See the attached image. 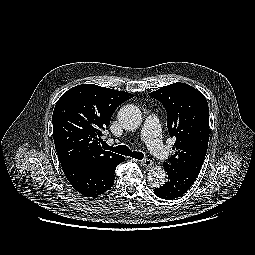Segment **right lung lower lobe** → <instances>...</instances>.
Listing matches in <instances>:
<instances>
[{
  "mask_svg": "<svg viewBox=\"0 0 255 255\" xmlns=\"http://www.w3.org/2000/svg\"><path fill=\"white\" fill-rule=\"evenodd\" d=\"M123 161L125 158L120 156L104 165H67L62 169L76 191L86 197H96L113 186L115 169Z\"/></svg>",
  "mask_w": 255,
  "mask_h": 255,
  "instance_id": "98d812e1",
  "label": "right lung lower lobe"
}]
</instances>
